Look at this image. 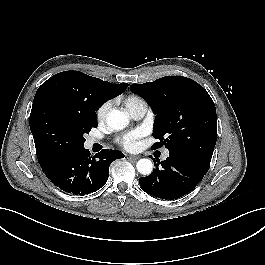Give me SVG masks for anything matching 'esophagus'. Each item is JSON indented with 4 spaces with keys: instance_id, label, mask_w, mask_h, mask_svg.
<instances>
[{
    "instance_id": "34e87169",
    "label": "esophagus",
    "mask_w": 265,
    "mask_h": 265,
    "mask_svg": "<svg viewBox=\"0 0 265 265\" xmlns=\"http://www.w3.org/2000/svg\"><path fill=\"white\" fill-rule=\"evenodd\" d=\"M128 158L131 160H138L140 158V156L138 155H128Z\"/></svg>"
}]
</instances>
